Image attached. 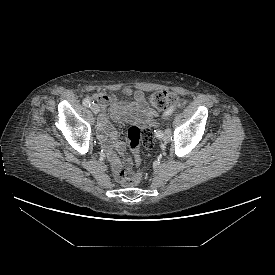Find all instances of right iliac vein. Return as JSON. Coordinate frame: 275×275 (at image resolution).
<instances>
[{
	"instance_id": "obj_1",
	"label": "right iliac vein",
	"mask_w": 275,
	"mask_h": 275,
	"mask_svg": "<svg viewBox=\"0 0 275 275\" xmlns=\"http://www.w3.org/2000/svg\"><path fill=\"white\" fill-rule=\"evenodd\" d=\"M91 110L95 113V114H98L100 109H99V106L97 104H92L91 105Z\"/></svg>"
}]
</instances>
